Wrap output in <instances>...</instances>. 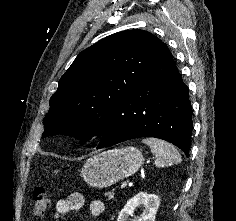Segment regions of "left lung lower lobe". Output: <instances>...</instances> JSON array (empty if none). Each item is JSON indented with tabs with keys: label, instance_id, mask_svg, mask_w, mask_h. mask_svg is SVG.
Segmentation results:
<instances>
[{
	"label": "left lung lower lobe",
	"instance_id": "left-lung-lower-lobe-1",
	"mask_svg": "<svg viewBox=\"0 0 236 221\" xmlns=\"http://www.w3.org/2000/svg\"><path fill=\"white\" fill-rule=\"evenodd\" d=\"M191 117L188 88L165 47L114 111L97 148L139 137H155L171 142L188 156L193 128Z\"/></svg>",
	"mask_w": 236,
	"mask_h": 221
}]
</instances>
